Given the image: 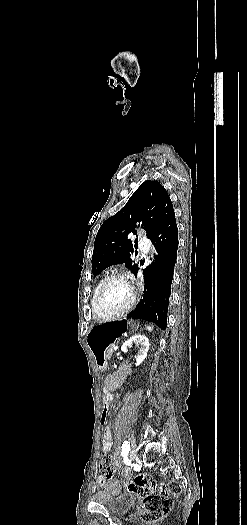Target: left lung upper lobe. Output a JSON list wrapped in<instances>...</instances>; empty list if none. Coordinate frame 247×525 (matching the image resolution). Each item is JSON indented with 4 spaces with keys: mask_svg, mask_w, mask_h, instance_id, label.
<instances>
[{
    "mask_svg": "<svg viewBox=\"0 0 247 525\" xmlns=\"http://www.w3.org/2000/svg\"><path fill=\"white\" fill-rule=\"evenodd\" d=\"M174 213L166 189L158 182L147 180L133 193L126 205L100 227L92 256L93 274L118 263H125L136 275L138 267L130 259L134 252L130 234L144 229L150 238L156 229Z\"/></svg>",
    "mask_w": 247,
    "mask_h": 525,
    "instance_id": "1",
    "label": "left lung upper lobe"
}]
</instances>
